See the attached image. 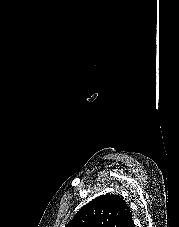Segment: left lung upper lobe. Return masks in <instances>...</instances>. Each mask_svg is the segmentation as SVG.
I'll return each instance as SVG.
<instances>
[{
    "label": "left lung upper lobe",
    "instance_id": "1",
    "mask_svg": "<svg viewBox=\"0 0 179 227\" xmlns=\"http://www.w3.org/2000/svg\"><path fill=\"white\" fill-rule=\"evenodd\" d=\"M66 227H134V223L125 200L108 194L83 206Z\"/></svg>",
    "mask_w": 179,
    "mask_h": 227
}]
</instances>
